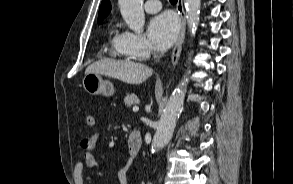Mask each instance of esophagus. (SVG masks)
<instances>
[{
  "label": "esophagus",
  "mask_w": 293,
  "mask_h": 184,
  "mask_svg": "<svg viewBox=\"0 0 293 184\" xmlns=\"http://www.w3.org/2000/svg\"><path fill=\"white\" fill-rule=\"evenodd\" d=\"M176 9L180 17L181 29L171 55V63L173 67L178 63L182 50V45L185 39L186 17L183 7V0H178Z\"/></svg>",
  "instance_id": "1"
}]
</instances>
